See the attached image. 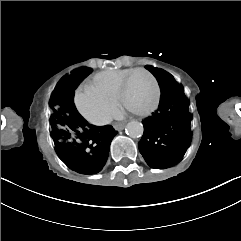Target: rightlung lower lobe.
<instances>
[{"mask_svg": "<svg viewBox=\"0 0 241 241\" xmlns=\"http://www.w3.org/2000/svg\"><path fill=\"white\" fill-rule=\"evenodd\" d=\"M84 68L65 78L67 90L73 94L74 89L89 73ZM70 125L74 131L72 141L54 140L59 158L73 171L81 174H96L106 164L112 139L117 131L110 125L97 127L90 125L77 111L73 98L65 101Z\"/></svg>", "mask_w": 241, "mask_h": 241, "instance_id": "obj_1", "label": "right lung lower lobe"}]
</instances>
